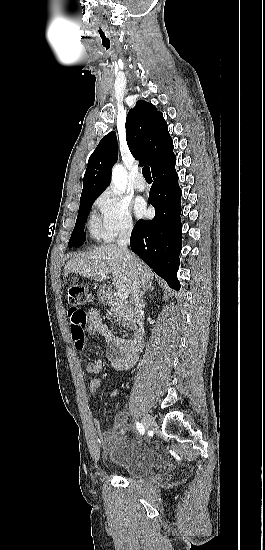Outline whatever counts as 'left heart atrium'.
Returning a JSON list of instances; mask_svg holds the SVG:
<instances>
[{
    "mask_svg": "<svg viewBox=\"0 0 265 550\" xmlns=\"http://www.w3.org/2000/svg\"><path fill=\"white\" fill-rule=\"evenodd\" d=\"M135 211L138 216H142L146 213V207L143 202H138L135 206Z\"/></svg>",
    "mask_w": 265,
    "mask_h": 550,
    "instance_id": "39dd6f15",
    "label": "left heart atrium"
}]
</instances>
